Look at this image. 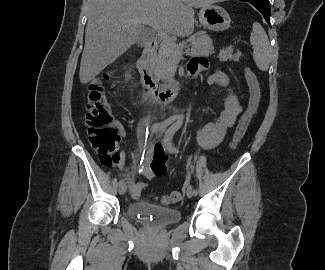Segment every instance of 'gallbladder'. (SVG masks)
<instances>
[{
    "label": "gallbladder",
    "mask_w": 325,
    "mask_h": 270,
    "mask_svg": "<svg viewBox=\"0 0 325 270\" xmlns=\"http://www.w3.org/2000/svg\"><path fill=\"white\" fill-rule=\"evenodd\" d=\"M151 39V35L145 31L141 34L140 39L138 40L137 44L143 46Z\"/></svg>",
    "instance_id": "gallbladder-1"
}]
</instances>
